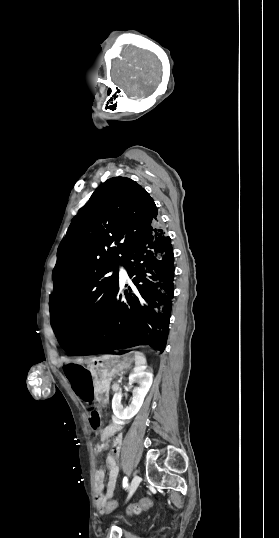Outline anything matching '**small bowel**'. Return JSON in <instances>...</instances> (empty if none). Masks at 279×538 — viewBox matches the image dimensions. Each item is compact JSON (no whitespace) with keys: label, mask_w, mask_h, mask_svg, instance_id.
<instances>
[{"label":"small bowel","mask_w":279,"mask_h":538,"mask_svg":"<svg viewBox=\"0 0 279 538\" xmlns=\"http://www.w3.org/2000/svg\"><path fill=\"white\" fill-rule=\"evenodd\" d=\"M66 378L77 398L86 405H93L95 401L94 381L92 375L85 369H71L66 372ZM90 427L96 431L99 443L95 450L97 453L104 451L108 446V439L116 435L121 429L122 424L112 422L106 427L102 425V413L98 407H93L89 415ZM123 442V436L117 434L113 441V454L106 458L108 468V481L104 490L105 472L102 468L98 469L95 475L96 498L98 507L106 504L107 500L112 498L115 493L119 468L116 462V455L119 454Z\"/></svg>","instance_id":"1"}]
</instances>
